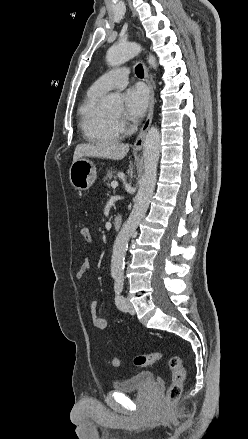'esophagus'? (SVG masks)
Wrapping results in <instances>:
<instances>
[{
  "label": "esophagus",
  "instance_id": "esophagus-1",
  "mask_svg": "<svg viewBox=\"0 0 248 439\" xmlns=\"http://www.w3.org/2000/svg\"><path fill=\"white\" fill-rule=\"evenodd\" d=\"M138 34H139V32H138ZM143 69H144V73H145L144 80H145V82L148 86V89H149V110H148L147 119H146L145 123L142 125V127L139 131V134L134 142L135 149H141L143 147L146 133H147V131L152 123L153 112H154V103H155L154 88H153L152 80L150 78L148 69L144 63H143Z\"/></svg>",
  "mask_w": 248,
  "mask_h": 439
}]
</instances>
